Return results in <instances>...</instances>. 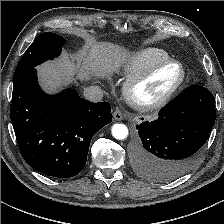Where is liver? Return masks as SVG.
<instances>
[{"mask_svg":"<svg viewBox=\"0 0 224 224\" xmlns=\"http://www.w3.org/2000/svg\"><path fill=\"white\" fill-rule=\"evenodd\" d=\"M128 55L125 48L116 44L92 42L76 58L63 53L58 60L46 62L37 69L43 87L52 92L72 81L75 75L81 80L110 75Z\"/></svg>","mask_w":224,"mask_h":224,"instance_id":"1","label":"liver"}]
</instances>
